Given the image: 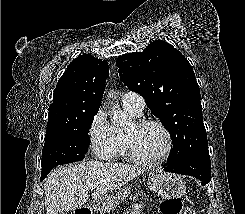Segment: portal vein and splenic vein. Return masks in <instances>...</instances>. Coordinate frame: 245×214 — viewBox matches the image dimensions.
<instances>
[{
    "mask_svg": "<svg viewBox=\"0 0 245 214\" xmlns=\"http://www.w3.org/2000/svg\"><path fill=\"white\" fill-rule=\"evenodd\" d=\"M88 187H89V189H91V190H94V189H95V185H93V184L89 185Z\"/></svg>",
    "mask_w": 245,
    "mask_h": 214,
    "instance_id": "portal-vein-and-splenic-vein-1",
    "label": "portal vein and splenic vein"
}]
</instances>
